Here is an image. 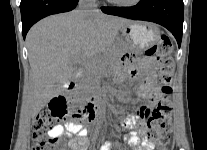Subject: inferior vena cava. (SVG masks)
Instances as JSON below:
<instances>
[{
    "instance_id": "1",
    "label": "inferior vena cava",
    "mask_w": 207,
    "mask_h": 150,
    "mask_svg": "<svg viewBox=\"0 0 207 150\" xmlns=\"http://www.w3.org/2000/svg\"><path fill=\"white\" fill-rule=\"evenodd\" d=\"M79 11L83 15L99 12L97 9L96 0H80Z\"/></svg>"
}]
</instances>
